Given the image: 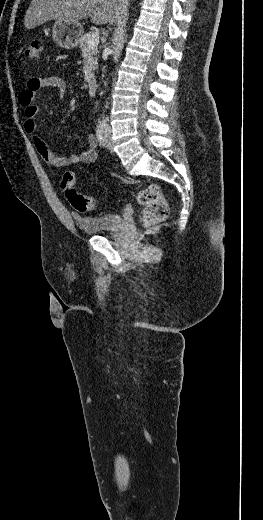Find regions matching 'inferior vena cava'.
Segmentation results:
<instances>
[{
  "instance_id": "inferior-vena-cava-1",
  "label": "inferior vena cava",
  "mask_w": 263,
  "mask_h": 520,
  "mask_svg": "<svg viewBox=\"0 0 263 520\" xmlns=\"http://www.w3.org/2000/svg\"><path fill=\"white\" fill-rule=\"evenodd\" d=\"M102 125L106 130L108 129V124L106 120H103Z\"/></svg>"
}]
</instances>
